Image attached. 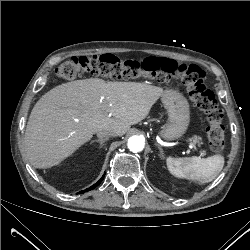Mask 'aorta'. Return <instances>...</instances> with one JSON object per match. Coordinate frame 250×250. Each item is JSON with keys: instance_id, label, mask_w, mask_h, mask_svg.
I'll list each match as a JSON object with an SVG mask.
<instances>
[{"instance_id": "aorta-1", "label": "aorta", "mask_w": 250, "mask_h": 250, "mask_svg": "<svg viewBox=\"0 0 250 250\" xmlns=\"http://www.w3.org/2000/svg\"><path fill=\"white\" fill-rule=\"evenodd\" d=\"M144 139L140 136H132L128 140V148L132 152H140L144 149Z\"/></svg>"}]
</instances>
